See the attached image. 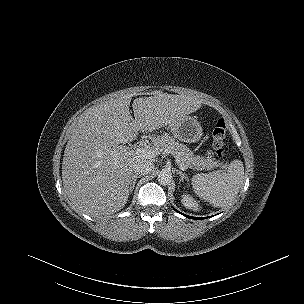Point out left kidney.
I'll list each match as a JSON object with an SVG mask.
<instances>
[{"mask_svg": "<svg viewBox=\"0 0 304 304\" xmlns=\"http://www.w3.org/2000/svg\"><path fill=\"white\" fill-rule=\"evenodd\" d=\"M181 202L187 209H191V210H195V211L198 210L197 202L192 197H190L188 194L182 195Z\"/></svg>", "mask_w": 304, "mask_h": 304, "instance_id": "obj_1", "label": "left kidney"}]
</instances>
